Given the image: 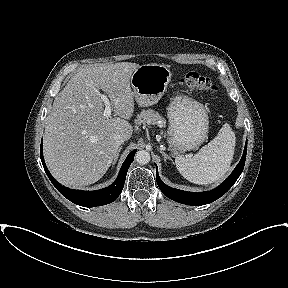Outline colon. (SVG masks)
<instances>
[{"label": "colon", "instance_id": "obj_1", "mask_svg": "<svg viewBox=\"0 0 288 288\" xmlns=\"http://www.w3.org/2000/svg\"><path fill=\"white\" fill-rule=\"evenodd\" d=\"M180 84L190 91L205 92L210 94H214L217 91V87L210 81L209 78L195 72H190L184 75L180 79Z\"/></svg>", "mask_w": 288, "mask_h": 288}]
</instances>
